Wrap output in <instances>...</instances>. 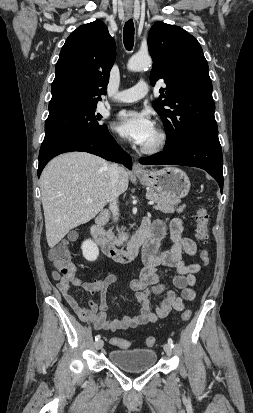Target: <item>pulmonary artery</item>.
Returning a JSON list of instances; mask_svg holds the SVG:
<instances>
[{
  "instance_id": "1",
  "label": "pulmonary artery",
  "mask_w": 253,
  "mask_h": 413,
  "mask_svg": "<svg viewBox=\"0 0 253 413\" xmlns=\"http://www.w3.org/2000/svg\"><path fill=\"white\" fill-rule=\"evenodd\" d=\"M149 92V86L146 82L140 81L132 88L119 91L114 100L120 103L136 102L146 96Z\"/></svg>"
}]
</instances>
